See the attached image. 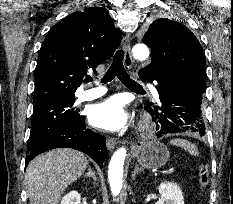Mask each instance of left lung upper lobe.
I'll return each mask as SVG.
<instances>
[{"label":"left lung upper lobe","instance_id":"5c2ea615","mask_svg":"<svg viewBox=\"0 0 233 204\" xmlns=\"http://www.w3.org/2000/svg\"><path fill=\"white\" fill-rule=\"evenodd\" d=\"M143 42L151 48V64L139 71L150 75L160 65H175L206 86V63L202 47L195 35L183 24L159 18L150 25Z\"/></svg>","mask_w":233,"mask_h":204}]
</instances>
